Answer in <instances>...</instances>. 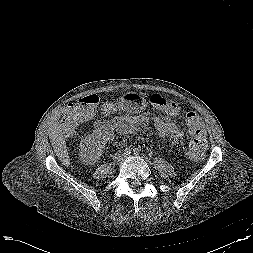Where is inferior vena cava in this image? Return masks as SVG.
Here are the masks:
<instances>
[{
	"instance_id": "obj_1",
	"label": "inferior vena cava",
	"mask_w": 253,
	"mask_h": 253,
	"mask_svg": "<svg viewBox=\"0 0 253 253\" xmlns=\"http://www.w3.org/2000/svg\"><path fill=\"white\" fill-rule=\"evenodd\" d=\"M125 158V154H123V153H116L115 155H114V159H115V161H122L123 159Z\"/></svg>"
}]
</instances>
